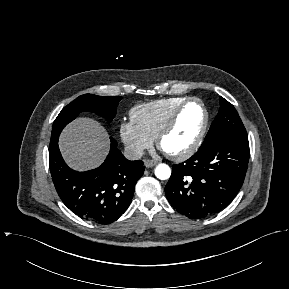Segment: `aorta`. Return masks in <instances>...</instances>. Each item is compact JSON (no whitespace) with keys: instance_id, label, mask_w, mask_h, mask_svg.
<instances>
[{"instance_id":"762f6f07","label":"aorta","mask_w":289,"mask_h":289,"mask_svg":"<svg viewBox=\"0 0 289 289\" xmlns=\"http://www.w3.org/2000/svg\"><path fill=\"white\" fill-rule=\"evenodd\" d=\"M171 175V169L167 164H159L155 169V176L160 180H166Z\"/></svg>"}]
</instances>
